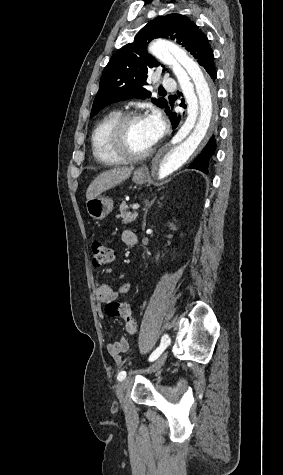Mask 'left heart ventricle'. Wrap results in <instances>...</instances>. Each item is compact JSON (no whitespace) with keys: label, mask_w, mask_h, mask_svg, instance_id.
Here are the masks:
<instances>
[{"label":"left heart ventricle","mask_w":283,"mask_h":475,"mask_svg":"<svg viewBox=\"0 0 283 475\" xmlns=\"http://www.w3.org/2000/svg\"><path fill=\"white\" fill-rule=\"evenodd\" d=\"M151 133L152 128L147 117L136 119L129 125L124 143L107 146L105 153L111 158L142 155L156 144Z\"/></svg>","instance_id":"b2bd125f"}]
</instances>
